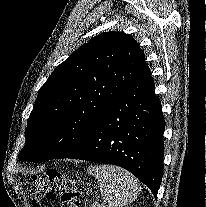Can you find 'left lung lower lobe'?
<instances>
[{"label": "left lung lower lobe", "mask_w": 206, "mask_h": 207, "mask_svg": "<svg viewBox=\"0 0 206 207\" xmlns=\"http://www.w3.org/2000/svg\"><path fill=\"white\" fill-rule=\"evenodd\" d=\"M154 88L146 66L106 109L87 142L65 158L120 166L156 198L163 176L165 121Z\"/></svg>", "instance_id": "left-lung-lower-lobe-1"}]
</instances>
